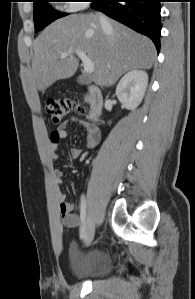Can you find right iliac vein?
<instances>
[{
  "label": "right iliac vein",
  "mask_w": 195,
  "mask_h": 299,
  "mask_svg": "<svg viewBox=\"0 0 195 299\" xmlns=\"http://www.w3.org/2000/svg\"><path fill=\"white\" fill-rule=\"evenodd\" d=\"M94 234H95L94 221L90 216H88L86 222L85 237H84V242L86 246H89L91 244L94 238Z\"/></svg>",
  "instance_id": "63e3f726"
}]
</instances>
